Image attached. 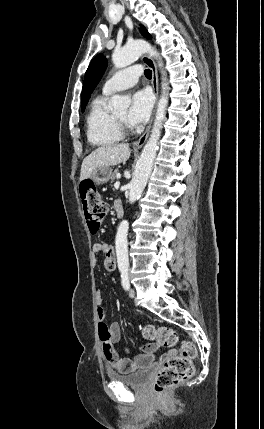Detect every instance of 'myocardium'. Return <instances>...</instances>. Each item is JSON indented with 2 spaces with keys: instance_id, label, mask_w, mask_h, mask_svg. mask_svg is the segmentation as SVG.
I'll list each match as a JSON object with an SVG mask.
<instances>
[{
  "instance_id": "f54148a6",
  "label": "myocardium",
  "mask_w": 264,
  "mask_h": 429,
  "mask_svg": "<svg viewBox=\"0 0 264 429\" xmlns=\"http://www.w3.org/2000/svg\"><path fill=\"white\" fill-rule=\"evenodd\" d=\"M113 119H114L118 129L122 133V135L129 131V126L126 123V121H123V120L117 118L115 115H113Z\"/></svg>"
}]
</instances>
